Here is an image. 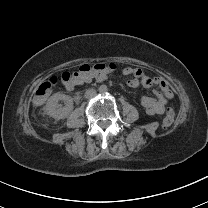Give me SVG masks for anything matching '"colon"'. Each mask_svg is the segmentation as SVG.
Returning <instances> with one entry per match:
<instances>
[{
    "label": "colon",
    "instance_id": "colon-1",
    "mask_svg": "<svg viewBox=\"0 0 208 208\" xmlns=\"http://www.w3.org/2000/svg\"><path fill=\"white\" fill-rule=\"evenodd\" d=\"M109 68H115L111 63H84L80 65L75 71L65 70L59 75H54L50 79H46L39 87L34 101L38 105H44L48 102L49 96L58 83H63L67 88H74L76 82L82 79L97 78L102 75H106ZM175 109L170 107L166 110V114L163 117L161 123V129L167 131L175 122Z\"/></svg>",
    "mask_w": 208,
    "mask_h": 208
}]
</instances>
